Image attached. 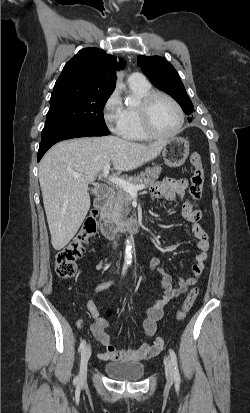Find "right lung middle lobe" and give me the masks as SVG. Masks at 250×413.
I'll return each instance as SVG.
<instances>
[{
	"mask_svg": "<svg viewBox=\"0 0 250 413\" xmlns=\"http://www.w3.org/2000/svg\"><path fill=\"white\" fill-rule=\"evenodd\" d=\"M112 92L84 89L74 85L55 88L42 130V140L71 128L108 131L103 108Z\"/></svg>",
	"mask_w": 250,
	"mask_h": 413,
	"instance_id": "right-lung-middle-lobe-1",
	"label": "right lung middle lobe"
}]
</instances>
